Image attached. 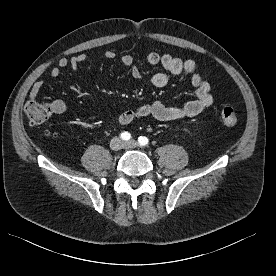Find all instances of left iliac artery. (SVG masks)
Returning a JSON list of instances; mask_svg holds the SVG:
<instances>
[{"instance_id": "44dca946", "label": "left iliac artery", "mask_w": 276, "mask_h": 276, "mask_svg": "<svg viewBox=\"0 0 276 276\" xmlns=\"http://www.w3.org/2000/svg\"><path fill=\"white\" fill-rule=\"evenodd\" d=\"M148 142H149V140H148V138L145 137V136H140V137L138 138V143H139L140 146H147V145H148Z\"/></svg>"}]
</instances>
